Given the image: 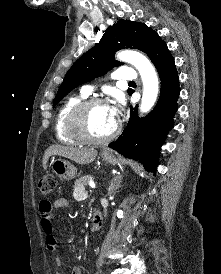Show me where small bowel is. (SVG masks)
Returning a JSON list of instances; mask_svg holds the SVG:
<instances>
[{
	"label": "small bowel",
	"instance_id": "c3829d8e",
	"mask_svg": "<svg viewBox=\"0 0 221 274\" xmlns=\"http://www.w3.org/2000/svg\"><path fill=\"white\" fill-rule=\"evenodd\" d=\"M69 205L67 199L58 198L53 203L43 200L39 205L40 225L45 238V246L48 251L55 253L57 251V239L54 235V214L53 209L67 208ZM62 260L56 255L55 265L57 269L61 267ZM56 274H61L59 271ZM70 274H84L83 270L79 266H75L71 269Z\"/></svg>",
	"mask_w": 221,
	"mask_h": 274
}]
</instances>
